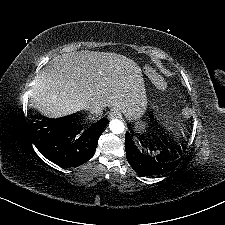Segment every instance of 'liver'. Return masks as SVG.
Segmentation results:
<instances>
[{
	"label": "liver",
	"instance_id": "obj_1",
	"mask_svg": "<svg viewBox=\"0 0 225 225\" xmlns=\"http://www.w3.org/2000/svg\"><path fill=\"white\" fill-rule=\"evenodd\" d=\"M140 71L132 59L117 53H63L35 77L31 103L48 117L88 109L92 100L106 103L108 99L110 105L137 114L143 98Z\"/></svg>",
	"mask_w": 225,
	"mask_h": 225
}]
</instances>
